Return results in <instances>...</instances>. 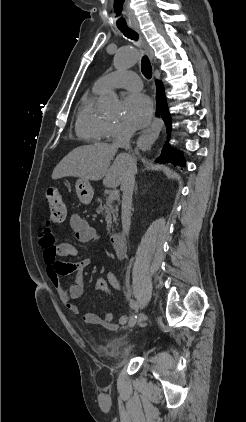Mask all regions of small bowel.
Instances as JSON below:
<instances>
[{
  "instance_id": "obj_1",
  "label": "small bowel",
  "mask_w": 246,
  "mask_h": 422,
  "mask_svg": "<svg viewBox=\"0 0 246 422\" xmlns=\"http://www.w3.org/2000/svg\"><path fill=\"white\" fill-rule=\"evenodd\" d=\"M70 225L74 231L75 238L79 242L87 243L99 238L95 228L77 214L71 216ZM38 241L43 249V259L46 264L47 276L55 288L60 301L70 314L78 315L79 308L71 300L83 295L85 290L83 270L92 263V260L85 258L77 262L61 261L60 258L62 257L77 256L78 250L70 243L56 242L53 232V222L51 220L46 222L44 228L39 233ZM65 275H72V283L68 288L64 287L61 281V277ZM109 287L115 290L120 289L119 281L115 273L111 270L107 272L106 278H99L93 284L95 290L111 295ZM83 320L89 325L103 326L110 330L117 327L113 323V315L109 312L102 315L86 313ZM127 322L128 316L126 314L121 315L118 319L119 325H124Z\"/></svg>"
}]
</instances>
